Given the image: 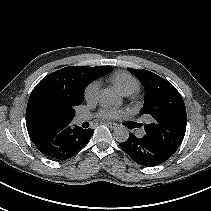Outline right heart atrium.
<instances>
[{"label":"right heart atrium","mask_w":211,"mask_h":211,"mask_svg":"<svg viewBox=\"0 0 211 211\" xmlns=\"http://www.w3.org/2000/svg\"><path fill=\"white\" fill-rule=\"evenodd\" d=\"M100 84L98 81L91 82L84 91V97L87 101H94L99 93Z\"/></svg>","instance_id":"1"}]
</instances>
